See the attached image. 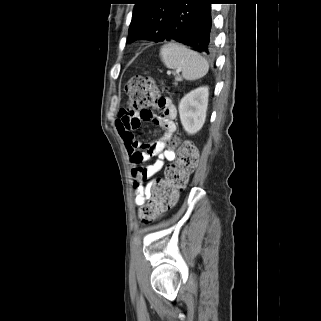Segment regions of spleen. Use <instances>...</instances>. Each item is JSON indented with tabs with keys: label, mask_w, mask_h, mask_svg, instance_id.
<instances>
[{
	"label": "spleen",
	"mask_w": 321,
	"mask_h": 321,
	"mask_svg": "<svg viewBox=\"0 0 321 321\" xmlns=\"http://www.w3.org/2000/svg\"><path fill=\"white\" fill-rule=\"evenodd\" d=\"M160 56L167 68L181 71L183 78L188 81L202 78L209 70V64L205 58L178 43L170 42L163 45Z\"/></svg>",
	"instance_id": "3e777b00"
}]
</instances>
